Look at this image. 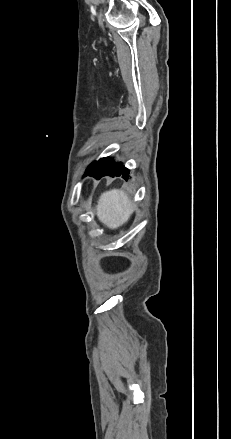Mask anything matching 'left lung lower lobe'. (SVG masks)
Returning a JSON list of instances; mask_svg holds the SVG:
<instances>
[{
  "instance_id": "obj_1",
  "label": "left lung lower lobe",
  "mask_w": 231,
  "mask_h": 439,
  "mask_svg": "<svg viewBox=\"0 0 231 439\" xmlns=\"http://www.w3.org/2000/svg\"><path fill=\"white\" fill-rule=\"evenodd\" d=\"M87 175L95 177L96 179H100L103 176H122V178L128 180L129 169L121 164L115 163L110 157H105L92 163V165L86 170L85 176Z\"/></svg>"
}]
</instances>
